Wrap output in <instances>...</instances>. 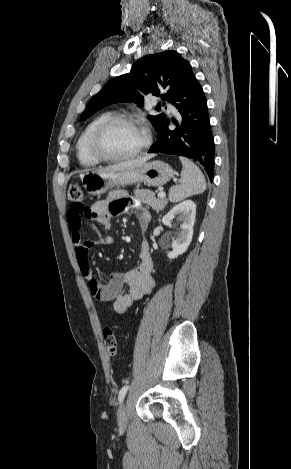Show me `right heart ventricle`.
<instances>
[{"label":"right heart ventricle","mask_w":291,"mask_h":469,"mask_svg":"<svg viewBox=\"0 0 291 469\" xmlns=\"http://www.w3.org/2000/svg\"><path fill=\"white\" fill-rule=\"evenodd\" d=\"M111 112H104L93 118L80 133L76 142V154L79 163L84 167H94L101 160L96 157L91 149V138L98 125L111 116Z\"/></svg>","instance_id":"e07e8e85"}]
</instances>
